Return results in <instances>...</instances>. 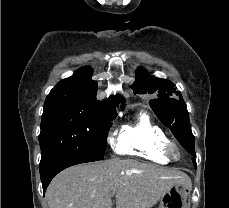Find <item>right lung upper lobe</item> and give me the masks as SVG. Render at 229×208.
I'll list each match as a JSON object with an SVG mask.
<instances>
[{
    "mask_svg": "<svg viewBox=\"0 0 229 208\" xmlns=\"http://www.w3.org/2000/svg\"><path fill=\"white\" fill-rule=\"evenodd\" d=\"M92 69L83 67L67 79L61 80L48 94L44 105H69L105 120L115 119L116 107L124 103L122 96H111L106 102L98 101V85L91 80Z\"/></svg>",
    "mask_w": 229,
    "mask_h": 208,
    "instance_id": "1",
    "label": "right lung upper lobe"
}]
</instances>
